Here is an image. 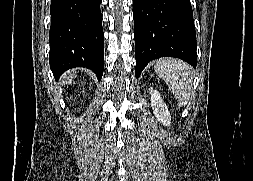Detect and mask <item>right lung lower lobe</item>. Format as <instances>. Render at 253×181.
I'll use <instances>...</instances> for the list:
<instances>
[{
    "label": "right lung lower lobe",
    "instance_id": "obj_1",
    "mask_svg": "<svg viewBox=\"0 0 253 181\" xmlns=\"http://www.w3.org/2000/svg\"><path fill=\"white\" fill-rule=\"evenodd\" d=\"M50 67L56 79L73 67L91 69L101 80L104 39L100 0H52Z\"/></svg>",
    "mask_w": 253,
    "mask_h": 181
}]
</instances>
